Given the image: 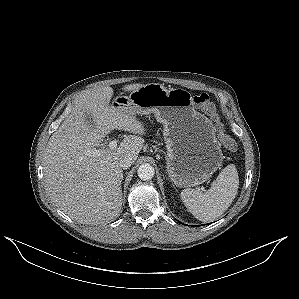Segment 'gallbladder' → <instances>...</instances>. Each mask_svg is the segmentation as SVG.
Here are the masks:
<instances>
[{"instance_id": "1", "label": "gallbladder", "mask_w": 299, "mask_h": 299, "mask_svg": "<svg viewBox=\"0 0 299 299\" xmlns=\"http://www.w3.org/2000/svg\"><path fill=\"white\" fill-rule=\"evenodd\" d=\"M84 119H85V123L89 128L94 129L96 127V123L90 113H85Z\"/></svg>"}]
</instances>
